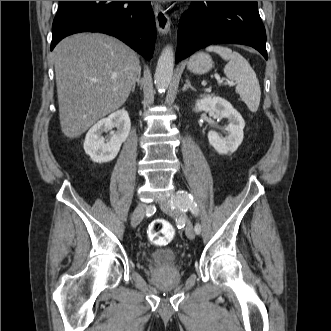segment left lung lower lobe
Segmentation results:
<instances>
[{
  "label": "left lung lower lobe",
  "mask_w": 331,
  "mask_h": 331,
  "mask_svg": "<svg viewBox=\"0 0 331 331\" xmlns=\"http://www.w3.org/2000/svg\"><path fill=\"white\" fill-rule=\"evenodd\" d=\"M217 43L248 45L267 59L257 1H192L179 22L176 61Z\"/></svg>",
  "instance_id": "left-lung-lower-lobe-1"
}]
</instances>
